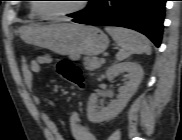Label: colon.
<instances>
[{"label": "colon", "mask_w": 182, "mask_h": 140, "mask_svg": "<svg viewBox=\"0 0 182 140\" xmlns=\"http://www.w3.org/2000/svg\"><path fill=\"white\" fill-rule=\"evenodd\" d=\"M59 72L75 85H81V76L79 69L71 62L63 61L58 65Z\"/></svg>", "instance_id": "5ec220e1"}]
</instances>
